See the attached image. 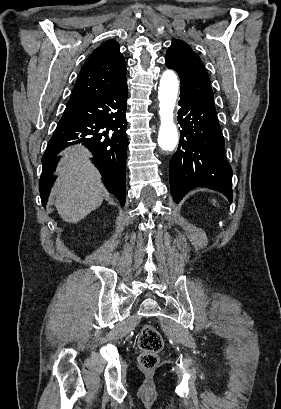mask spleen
Returning <instances> with one entry per match:
<instances>
[{"instance_id":"1","label":"spleen","mask_w":281,"mask_h":409,"mask_svg":"<svg viewBox=\"0 0 281 409\" xmlns=\"http://www.w3.org/2000/svg\"><path fill=\"white\" fill-rule=\"evenodd\" d=\"M212 202H213V205H216L217 200H215V198H212Z\"/></svg>"}]
</instances>
